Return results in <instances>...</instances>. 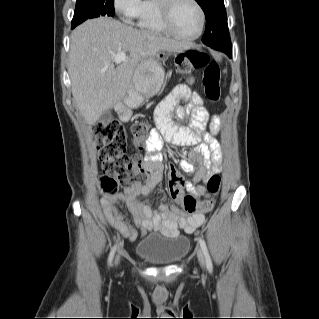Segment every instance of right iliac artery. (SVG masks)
<instances>
[{"instance_id":"1","label":"right iliac artery","mask_w":319,"mask_h":319,"mask_svg":"<svg viewBox=\"0 0 319 319\" xmlns=\"http://www.w3.org/2000/svg\"><path fill=\"white\" fill-rule=\"evenodd\" d=\"M115 250H116V246H114V247L112 248L111 252H110L109 260H108V263H109V264H111V262H112V259H113Z\"/></svg>"}]
</instances>
